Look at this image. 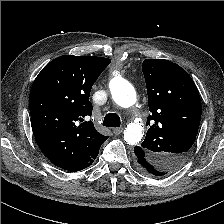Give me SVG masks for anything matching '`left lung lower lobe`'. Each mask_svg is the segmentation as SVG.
<instances>
[{
  "label": "left lung lower lobe",
  "mask_w": 224,
  "mask_h": 224,
  "mask_svg": "<svg viewBox=\"0 0 224 224\" xmlns=\"http://www.w3.org/2000/svg\"><path fill=\"white\" fill-rule=\"evenodd\" d=\"M134 153L136 155L135 159V165L137 170L146 176H159V171L154 167L153 164H151L147 158L143 150H141L139 147L134 148Z\"/></svg>",
  "instance_id": "0a47b994"
}]
</instances>
